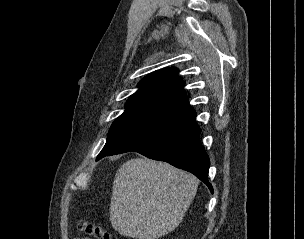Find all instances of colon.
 Returning <instances> with one entry per match:
<instances>
[{
    "label": "colon",
    "instance_id": "obj_1",
    "mask_svg": "<svg viewBox=\"0 0 304 239\" xmlns=\"http://www.w3.org/2000/svg\"><path fill=\"white\" fill-rule=\"evenodd\" d=\"M79 228L88 235L87 238L89 239H112L111 235L97 223L82 221L80 222Z\"/></svg>",
    "mask_w": 304,
    "mask_h": 239
}]
</instances>
